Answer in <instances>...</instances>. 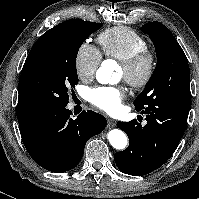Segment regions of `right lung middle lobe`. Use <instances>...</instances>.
Instances as JSON below:
<instances>
[{
	"instance_id": "obj_1",
	"label": "right lung middle lobe",
	"mask_w": 199,
	"mask_h": 199,
	"mask_svg": "<svg viewBox=\"0 0 199 199\" xmlns=\"http://www.w3.org/2000/svg\"><path fill=\"white\" fill-rule=\"evenodd\" d=\"M101 26L102 23L72 19L44 33L24 63L17 108L41 118L66 107L69 91L78 84V50Z\"/></svg>"
}]
</instances>
